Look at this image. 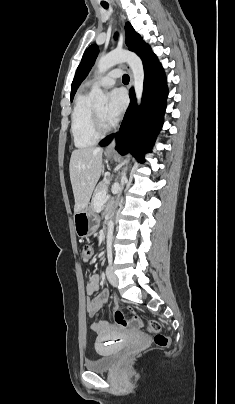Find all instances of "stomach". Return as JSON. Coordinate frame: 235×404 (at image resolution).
I'll return each mask as SVG.
<instances>
[{
    "label": "stomach",
    "instance_id": "1",
    "mask_svg": "<svg viewBox=\"0 0 235 404\" xmlns=\"http://www.w3.org/2000/svg\"><path fill=\"white\" fill-rule=\"evenodd\" d=\"M98 223V217L90 206L74 214L75 232L80 238H86L93 234Z\"/></svg>",
    "mask_w": 235,
    "mask_h": 404
}]
</instances>
